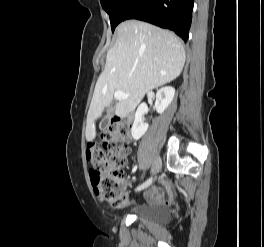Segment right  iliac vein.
<instances>
[{"instance_id":"1","label":"right iliac vein","mask_w":264,"mask_h":247,"mask_svg":"<svg viewBox=\"0 0 264 247\" xmlns=\"http://www.w3.org/2000/svg\"><path fill=\"white\" fill-rule=\"evenodd\" d=\"M160 166H161V161L159 158H156L152 165V173L156 174L159 171Z\"/></svg>"}]
</instances>
